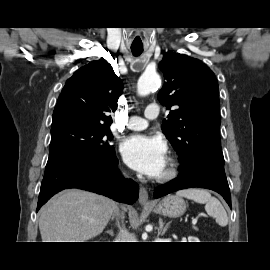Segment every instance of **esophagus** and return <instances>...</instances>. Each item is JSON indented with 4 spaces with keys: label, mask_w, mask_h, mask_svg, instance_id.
Returning a JSON list of instances; mask_svg holds the SVG:
<instances>
[{
    "label": "esophagus",
    "mask_w": 270,
    "mask_h": 270,
    "mask_svg": "<svg viewBox=\"0 0 270 270\" xmlns=\"http://www.w3.org/2000/svg\"><path fill=\"white\" fill-rule=\"evenodd\" d=\"M138 200L141 206L151 205V202L149 201V197H148V192L144 187H140Z\"/></svg>",
    "instance_id": "obj_1"
}]
</instances>
